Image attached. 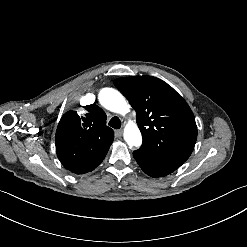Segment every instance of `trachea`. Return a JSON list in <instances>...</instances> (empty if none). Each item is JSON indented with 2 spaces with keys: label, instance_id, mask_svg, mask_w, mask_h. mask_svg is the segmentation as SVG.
Masks as SVG:
<instances>
[{
  "label": "trachea",
  "instance_id": "trachea-1",
  "mask_svg": "<svg viewBox=\"0 0 247 247\" xmlns=\"http://www.w3.org/2000/svg\"><path fill=\"white\" fill-rule=\"evenodd\" d=\"M109 125L115 129H119L121 127V121L117 116H115L111 118Z\"/></svg>",
  "mask_w": 247,
  "mask_h": 247
}]
</instances>
